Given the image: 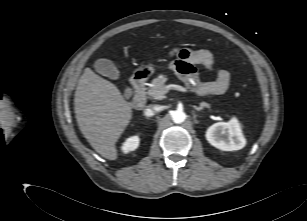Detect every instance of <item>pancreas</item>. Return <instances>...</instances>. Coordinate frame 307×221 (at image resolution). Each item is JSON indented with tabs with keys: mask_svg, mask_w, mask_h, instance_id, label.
Masks as SVG:
<instances>
[{
	"mask_svg": "<svg viewBox=\"0 0 307 221\" xmlns=\"http://www.w3.org/2000/svg\"><path fill=\"white\" fill-rule=\"evenodd\" d=\"M168 81V77L166 75L160 74L158 77L154 78L152 83L153 87L148 90V94L154 99H162L165 94L166 82ZM198 94L204 93L203 88L199 85L198 88L194 89Z\"/></svg>",
	"mask_w": 307,
	"mask_h": 221,
	"instance_id": "obj_1",
	"label": "pancreas"
}]
</instances>
